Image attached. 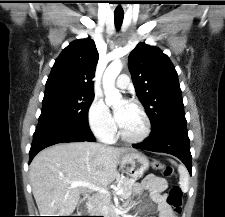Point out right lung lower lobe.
Segmentation results:
<instances>
[{"label": "right lung lower lobe", "instance_id": "right-lung-lower-lobe-1", "mask_svg": "<svg viewBox=\"0 0 225 217\" xmlns=\"http://www.w3.org/2000/svg\"><path fill=\"white\" fill-rule=\"evenodd\" d=\"M95 141L88 123L79 124L56 118H39L29 152V162L44 148L62 142Z\"/></svg>", "mask_w": 225, "mask_h": 217}]
</instances>
